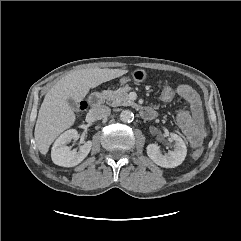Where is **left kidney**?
<instances>
[{"label": "left kidney", "mask_w": 241, "mask_h": 241, "mask_svg": "<svg viewBox=\"0 0 241 241\" xmlns=\"http://www.w3.org/2000/svg\"><path fill=\"white\" fill-rule=\"evenodd\" d=\"M170 136L175 141V146L169 153L163 154L157 144H149L146 148L148 157L155 164L165 168L177 167L184 161L187 154L183 139L175 133H171Z\"/></svg>", "instance_id": "left-kidney-1"}]
</instances>
